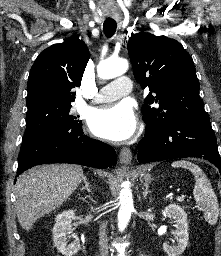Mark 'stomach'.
I'll list each match as a JSON object with an SVG mask.
<instances>
[{"label": "stomach", "instance_id": "1", "mask_svg": "<svg viewBox=\"0 0 221 256\" xmlns=\"http://www.w3.org/2000/svg\"><path fill=\"white\" fill-rule=\"evenodd\" d=\"M138 173H140L144 177L145 181H151L152 180V176L148 173V171L145 167L140 168L138 170Z\"/></svg>", "mask_w": 221, "mask_h": 256}]
</instances>
